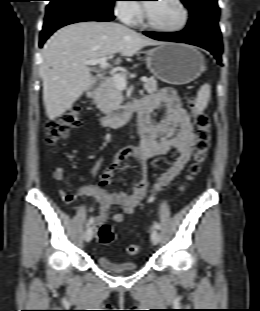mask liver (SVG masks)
I'll return each mask as SVG.
<instances>
[{
    "label": "liver",
    "instance_id": "obj_1",
    "mask_svg": "<svg viewBox=\"0 0 260 311\" xmlns=\"http://www.w3.org/2000/svg\"><path fill=\"white\" fill-rule=\"evenodd\" d=\"M161 44L114 22H78L59 29L45 44L40 67L48 118L61 117L91 87L93 76L84 61L112 59L116 53L131 57L145 46Z\"/></svg>",
    "mask_w": 260,
    "mask_h": 311
}]
</instances>
